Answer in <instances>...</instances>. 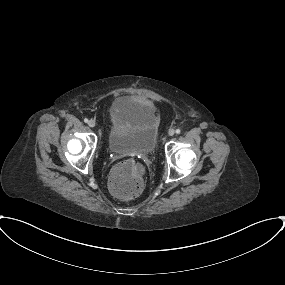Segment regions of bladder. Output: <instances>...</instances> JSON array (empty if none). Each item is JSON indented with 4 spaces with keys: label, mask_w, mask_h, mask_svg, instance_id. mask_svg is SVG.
Segmentation results:
<instances>
[{
    "label": "bladder",
    "mask_w": 285,
    "mask_h": 285,
    "mask_svg": "<svg viewBox=\"0 0 285 285\" xmlns=\"http://www.w3.org/2000/svg\"><path fill=\"white\" fill-rule=\"evenodd\" d=\"M128 102L127 98L121 103ZM131 114L136 117L134 124L119 129H111L107 136V149L113 154H150L156 147L157 133L155 126L147 121L148 109L141 103L131 104ZM120 112H122L120 110Z\"/></svg>",
    "instance_id": "obj_1"
}]
</instances>
